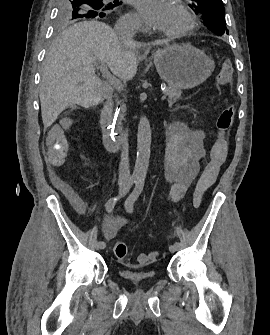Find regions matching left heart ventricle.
<instances>
[{
  "label": "left heart ventricle",
  "instance_id": "1",
  "mask_svg": "<svg viewBox=\"0 0 270 335\" xmlns=\"http://www.w3.org/2000/svg\"><path fill=\"white\" fill-rule=\"evenodd\" d=\"M186 21L182 15H180L177 11L175 12L173 18V28L174 31L181 29L185 25ZM178 52H188V51H178Z\"/></svg>",
  "mask_w": 270,
  "mask_h": 335
}]
</instances>
